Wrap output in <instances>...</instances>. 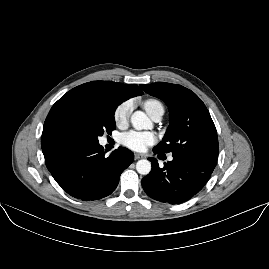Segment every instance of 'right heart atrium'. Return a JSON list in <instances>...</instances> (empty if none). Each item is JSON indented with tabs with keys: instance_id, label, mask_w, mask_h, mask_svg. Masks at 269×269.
Segmentation results:
<instances>
[{
	"instance_id": "obj_1",
	"label": "right heart atrium",
	"mask_w": 269,
	"mask_h": 269,
	"mask_svg": "<svg viewBox=\"0 0 269 269\" xmlns=\"http://www.w3.org/2000/svg\"><path fill=\"white\" fill-rule=\"evenodd\" d=\"M132 108L133 106L130 100L123 101L115 108L113 118L117 126H121L129 119Z\"/></svg>"
}]
</instances>
